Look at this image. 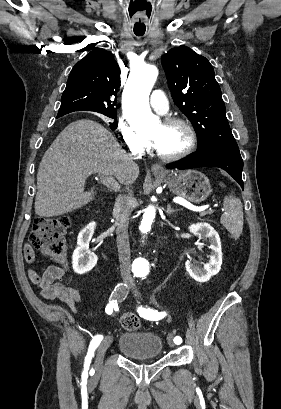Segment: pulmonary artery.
Masks as SVG:
<instances>
[{"mask_svg":"<svg viewBox=\"0 0 281 409\" xmlns=\"http://www.w3.org/2000/svg\"><path fill=\"white\" fill-rule=\"evenodd\" d=\"M148 106H154L156 111L164 112L166 110L165 106L168 105V98L165 97L164 90H153L152 97H148Z\"/></svg>","mask_w":281,"mask_h":409,"instance_id":"1","label":"pulmonary artery"}]
</instances>
